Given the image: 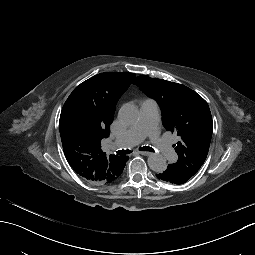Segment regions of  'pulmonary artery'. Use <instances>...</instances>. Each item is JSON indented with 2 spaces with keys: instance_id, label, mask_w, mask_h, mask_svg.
<instances>
[{
  "instance_id": "obj_1",
  "label": "pulmonary artery",
  "mask_w": 255,
  "mask_h": 255,
  "mask_svg": "<svg viewBox=\"0 0 255 255\" xmlns=\"http://www.w3.org/2000/svg\"><path fill=\"white\" fill-rule=\"evenodd\" d=\"M141 118L138 124L129 128L123 135L116 138L111 144V150L128 149L139 144L145 137L153 141L154 147L158 152L163 153L165 158L174 163L177 161L173 144L168 143L165 138L161 137L158 129L161 127L158 117V105L153 99H146L141 103Z\"/></svg>"
}]
</instances>
